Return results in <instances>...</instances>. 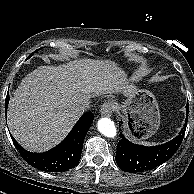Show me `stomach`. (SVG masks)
Masks as SVG:
<instances>
[{
	"instance_id": "obj_1",
	"label": "stomach",
	"mask_w": 194,
	"mask_h": 194,
	"mask_svg": "<svg viewBox=\"0 0 194 194\" xmlns=\"http://www.w3.org/2000/svg\"><path fill=\"white\" fill-rule=\"evenodd\" d=\"M115 110L124 114L129 135L148 139L160 125V111L155 96L146 89H136L122 104L115 102Z\"/></svg>"
}]
</instances>
